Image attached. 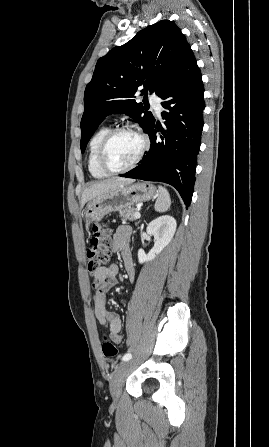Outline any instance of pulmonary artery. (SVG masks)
<instances>
[{"mask_svg": "<svg viewBox=\"0 0 269 447\" xmlns=\"http://www.w3.org/2000/svg\"><path fill=\"white\" fill-rule=\"evenodd\" d=\"M150 102L152 104V107L154 108L155 113L160 116L161 111L163 109V106L161 104L160 98L154 96L150 98Z\"/></svg>", "mask_w": 269, "mask_h": 447, "instance_id": "pulmonary-artery-1", "label": "pulmonary artery"}]
</instances>
